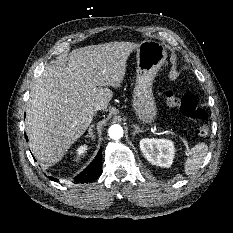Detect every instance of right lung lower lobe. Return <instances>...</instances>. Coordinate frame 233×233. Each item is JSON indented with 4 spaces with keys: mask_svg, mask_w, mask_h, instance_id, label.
Masks as SVG:
<instances>
[{
    "mask_svg": "<svg viewBox=\"0 0 233 233\" xmlns=\"http://www.w3.org/2000/svg\"><path fill=\"white\" fill-rule=\"evenodd\" d=\"M26 140L27 137H26ZM101 150L98 152L97 156L93 162L84 169L79 175L75 177L76 183H87L92 182L102 174V159H101ZM51 180L58 182V179L49 177Z\"/></svg>",
    "mask_w": 233,
    "mask_h": 233,
    "instance_id": "right-lung-lower-lobe-1",
    "label": "right lung lower lobe"
}]
</instances>
